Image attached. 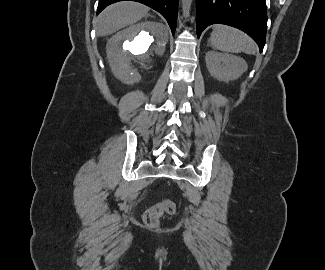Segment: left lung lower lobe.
<instances>
[{"mask_svg":"<svg viewBox=\"0 0 325 270\" xmlns=\"http://www.w3.org/2000/svg\"><path fill=\"white\" fill-rule=\"evenodd\" d=\"M266 0H196L197 36L209 25L220 23L247 33L263 50L266 39Z\"/></svg>","mask_w":325,"mask_h":270,"instance_id":"left-lung-lower-lobe-1","label":"left lung lower lobe"}]
</instances>
